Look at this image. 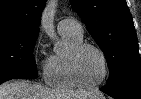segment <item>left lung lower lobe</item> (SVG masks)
Here are the masks:
<instances>
[{
  "label": "left lung lower lobe",
  "instance_id": "obj_1",
  "mask_svg": "<svg viewBox=\"0 0 141 99\" xmlns=\"http://www.w3.org/2000/svg\"><path fill=\"white\" fill-rule=\"evenodd\" d=\"M100 90L116 99H141V84L106 86Z\"/></svg>",
  "mask_w": 141,
  "mask_h": 99
}]
</instances>
